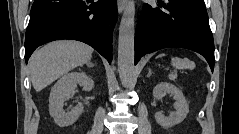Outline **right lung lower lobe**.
Listing matches in <instances>:
<instances>
[{"label": "right lung lower lobe", "mask_w": 239, "mask_h": 134, "mask_svg": "<svg viewBox=\"0 0 239 134\" xmlns=\"http://www.w3.org/2000/svg\"><path fill=\"white\" fill-rule=\"evenodd\" d=\"M116 0H35L25 38V62L40 45L59 39L89 44L112 60Z\"/></svg>", "instance_id": "98d812e1"}]
</instances>
